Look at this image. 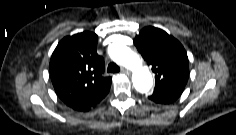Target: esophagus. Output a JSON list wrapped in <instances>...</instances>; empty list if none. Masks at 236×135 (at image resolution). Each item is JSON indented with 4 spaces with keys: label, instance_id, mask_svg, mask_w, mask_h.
Segmentation results:
<instances>
[{
    "label": "esophagus",
    "instance_id": "esophagus-1",
    "mask_svg": "<svg viewBox=\"0 0 236 135\" xmlns=\"http://www.w3.org/2000/svg\"><path fill=\"white\" fill-rule=\"evenodd\" d=\"M121 72H122L123 74H126V75H129V74H130V71H129L128 69H126V68H122V69H121Z\"/></svg>",
    "mask_w": 236,
    "mask_h": 135
}]
</instances>
